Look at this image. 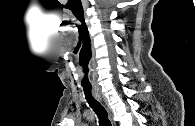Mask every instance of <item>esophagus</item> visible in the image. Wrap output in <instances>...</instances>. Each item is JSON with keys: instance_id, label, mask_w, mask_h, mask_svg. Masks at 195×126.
I'll list each match as a JSON object with an SVG mask.
<instances>
[{"instance_id": "obj_1", "label": "esophagus", "mask_w": 195, "mask_h": 126, "mask_svg": "<svg viewBox=\"0 0 195 126\" xmlns=\"http://www.w3.org/2000/svg\"><path fill=\"white\" fill-rule=\"evenodd\" d=\"M93 94H94V96H95V98L97 100L102 101V98H101V95L99 93V89L98 88H96V87L93 88Z\"/></svg>"}]
</instances>
